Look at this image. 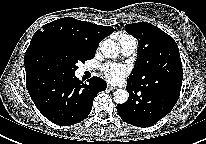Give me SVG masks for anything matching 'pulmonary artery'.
<instances>
[{"label":"pulmonary artery","instance_id":"1","mask_svg":"<svg viewBox=\"0 0 206 144\" xmlns=\"http://www.w3.org/2000/svg\"><path fill=\"white\" fill-rule=\"evenodd\" d=\"M119 43H120L121 52L125 56H130L136 51L137 42L131 36H125L121 38Z\"/></svg>","mask_w":206,"mask_h":144}]
</instances>
